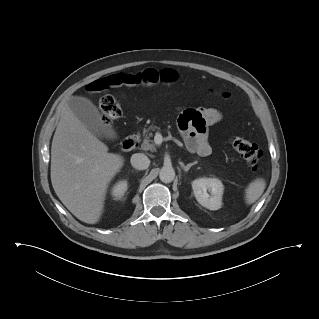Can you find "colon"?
<instances>
[{
	"label": "colon",
	"mask_w": 319,
	"mask_h": 319,
	"mask_svg": "<svg viewBox=\"0 0 319 319\" xmlns=\"http://www.w3.org/2000/svg\"><path fill=\"white\" fill-rule=\"evenodd\" d=\"M99 108L103 121L107 124L118 119L122 114L119 100L112 95L103 96L99 101ZM230 143L251 169L256 170L258 168L262 152L256 144L238 136H232Z\"/></svg>",
	"instance_id": "obj_1"
}]
</instances>
